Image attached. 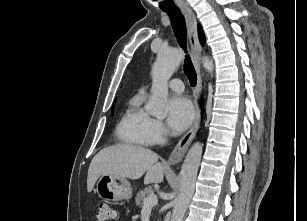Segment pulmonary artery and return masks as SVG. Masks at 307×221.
<instances>
[{"mask_svg": "<svg viewBox=\"0 0 307 221\" xmlns=\"http://www.w3.org/2000/svg\"><path fill=\"white\" fill-rule=\"evenodd\" d=\"M168 87L176 93H181L184 90V84L180 79L171 80L168 84Z\"/></svg>", "mask_w": 307, "mask_h": 221, "instance_id": "e3ab8cb5", "label": "pulmonary artery"}]
</instances>
